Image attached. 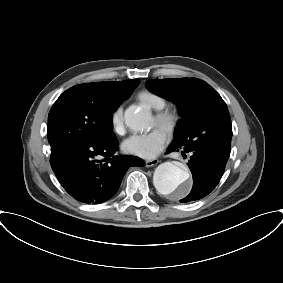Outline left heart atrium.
<instances>
[{"label":"left heart atrium","mask_w":283,"mask_h":283,"mask_svg":"<svg viewBox=\"0 0 283 283\" xmlns=\"http://www.w3.org/2000/svg\"><path fill=\"white\" fill-rule=\"evenodd\" d=\"M167 138L164 131L156 128L147 134H136L123 142V150L143 159H152L164 148Z\"/></svg>","instance_id":"left-heart-atrium-1"}]
</instances>
